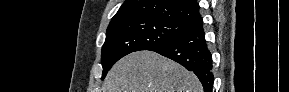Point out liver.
Masks as SVG:
<instances>
[{"mask_svg":"<svg viewBox=\"0 0 289 92\" xmlns=\"http://www.w3.org/2000/svg\"><path fill=\"white\" fill-rule=\"evenodd\" d=\"M103 92H203L190 71L152 51L133 52L109 71Z\"/></svg>","mask_w":289,"mask_h":92,"instance_id":"6515ba94","label":"liver"}]
</instances>
